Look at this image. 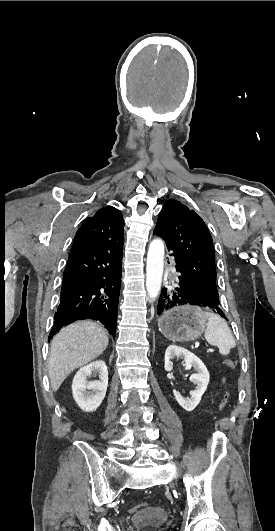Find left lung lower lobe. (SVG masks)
<instances>
[{
	"mask_svg": "<svg viewBox=\"0 0 275 531\" xmlns=\"http://www.w3.org/2000/svg\"><path fill=\"white\" fill-rule=\"evenodd\" d=\"M154 234L161 237L156 229H154ZM168 250L170 251L169 248ZM171 255H173V253ZM176 270L177 272H179L177 263H176ZM178 305L207 306L201 303L199 300H197L196 298H194L187 292L181 279H179L178 285L176 288H174V290L170 291L167 288H163L161 290V294L158 300L157 314L161 315L166 310H169ZM207 307L212 308L213 311H215L216 309V313H218L220 316L226 319L224 313L218 307H211V306H207Z\"/></svg>",
	"mask_w": 275,
	"mask_h": 531,
	"instance_id": "1",
	"label": "left lung lower lobe"
}]
</instances>
